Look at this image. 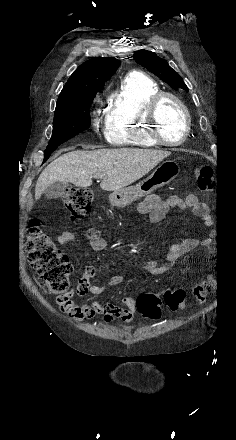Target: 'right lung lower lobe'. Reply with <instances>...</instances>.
<instances>
[{
    "instance_id": "obj_1",
    "label": "right lung lower lobe",
    "mask_w": 236,
    "mask_h": 440,
    "mask_svg": "<svg viewBox=\"0 0 236 440\" xmlns=\"http://www.w3.org/2000/svg\"><path fill=\"white\" fill-rule=\"evenodd\" d=\"M57 147L54 148H48L45 150L44 152V161L43 163L49 158V156L51 155V153L56 149Z\"/></svg>"
}]
</instances>
